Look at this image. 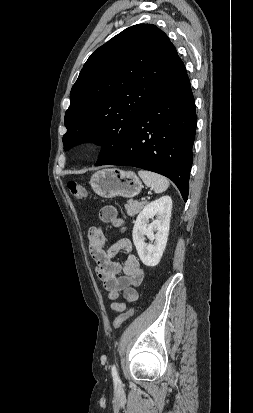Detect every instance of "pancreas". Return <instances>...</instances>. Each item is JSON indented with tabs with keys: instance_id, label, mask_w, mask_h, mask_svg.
<instances>
[{
	"instance_id": "obj_1",
	"label": "pancreas",
	"mask_w": 253,
	"mask_h": 413,
	"mask_svg": "<svg viewBox=\"0 0 253 413\" xmlns=\"http://www.w3.org/2000/svg\"><path fill=\"white\" fill-rule=\"evenodd\" d=\"M146 203V201H128L127 204H125V210L129 216L133 217L141 211Z\"/></svg>"
}]
</instances>
